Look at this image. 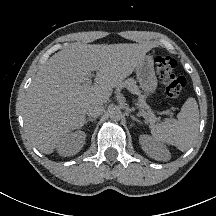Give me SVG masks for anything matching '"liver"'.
Masks as SVG:
<instances>
[{"label": "liver", "mask_w": 216, "mask_h": 216, "mask_svg": "<svg viewBox=\"0 0 216 216\" xmlns=\"http://www.w3.org/2000/svg\"><path fill=\"white\" fill-rule=\"evenodd\" d=\"M152 47L150 42H78L55 53L38 71L23 103L26 132L37 149L53 153L64 135L85 124L86 107L106 103ZM94 69L95 83L82 87Z\"/></svg>", "instance_id": "obj_1"}]
</instances>
